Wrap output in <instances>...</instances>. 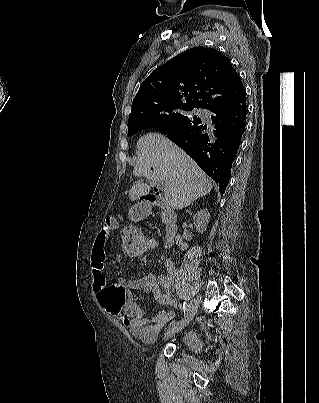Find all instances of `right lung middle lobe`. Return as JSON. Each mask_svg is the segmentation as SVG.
Masks as SVG:
<instances>
[{
  "label": "right lung middle lobe",
  "instance_id": "1",
  "mask_svg": "<svg viewBox=\"0 0 319 403\" xmlns=\"http://www.w3.org/2000/svg\"><path fill=\"white\" fill-rule=\"evenodd\" d=\"M193 105L163 104L145 109L140 115L128 120V137L144 129L155 127L161 132L173 131L189 127L201 119L197 115H189Z\"/></svg>",
  "mask_w": 319,
  "mask_h": 403
}]
</instances>
